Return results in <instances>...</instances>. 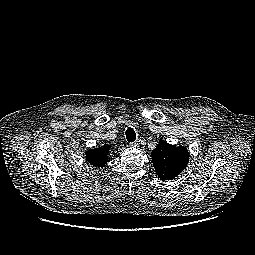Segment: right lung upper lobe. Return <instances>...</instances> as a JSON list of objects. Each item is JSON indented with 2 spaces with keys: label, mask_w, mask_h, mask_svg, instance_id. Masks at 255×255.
<instances>
[{
  "label": "right lung upper lobe",
  "mask_w": 255,
  "mask_h": 255,
  "mask_svg": "<svg viewBox=\"0 0 255 255\" xmlns=\"http://www.w3.org/2000/svg\"><path fill=\"white\" fill-rule=\"evenodd\" d=\"M111 145H105L102 148L89 149L86 151V160L92 166L103 167L108 162V153Z\"/></svg>",
  "instance_id": "cb5924a9"
}]
</instances>
